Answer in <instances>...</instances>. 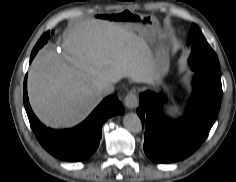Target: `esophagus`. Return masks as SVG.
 I'll list each match as a JSON object with an SVG mask.
<instances>
[{"label":"esophagus","instance_id":"34e87169","mask_svg":"<svg viewBox=\"0 0 236 182\" xmlns=\"http://www.w3.org/2000/svg\"><path fill=\"white\" fill-rule=\"evenodd\" d=\"M124 104L127 109L134 110L138 107L139 100L136 92H130L124 99Z\"/></svg>","mask_w":236,"mask_h":182}]
</instances>
